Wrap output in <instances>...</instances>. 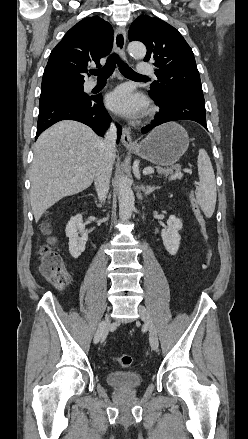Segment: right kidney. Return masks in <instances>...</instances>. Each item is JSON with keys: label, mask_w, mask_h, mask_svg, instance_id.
Here are the masks:
<instances>
[{"label": "right kidney", "mask_w": 248, "mask_h": 439, "mask_svg": "<svg viewBox=\"0 0 248 439\" xmlns=\"http://www.w3.org/2000/svg\"><path fill=\"white\" fill-rule=\"evenodd\" d=\"M65 233L69 238V252L71 256L73 258H78L81 253L84 252L88 240L82 214H77L70 218V221L66 225ZM78 234H81V237H79Z\"/></svg>", "instance_id": "right-kidney-1"}]
</instances>
